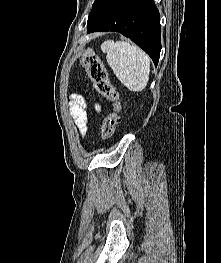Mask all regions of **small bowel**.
Segmentation results:
<instances>
[{
	"label": "small bowel",
	"instance_id": "small-bowel-1",
	"mask_svg": "<svg viewBox=\"0 0 221 263\" xmlns=\"http://www.w3.org/2000/svg\"><path fill=\"white\" fill-rule=\"evenodd\" d=\"M70 109L80 134L84 136L87 131V113L85 99L81 95L73 94ZM94 109L97 113H99L101 107L100 105L96 104L94 106Z\"/></svg>",
	"mask_w": 221,
	"mask_h": 263
}]
</instances>
